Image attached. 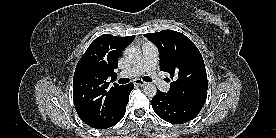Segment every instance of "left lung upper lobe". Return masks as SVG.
<instances>
[{
    "instance_id": "5c2ea615",
    "label": "left lung upper lobe",
    "mask_w": 276,
    "mask_h": 138,
    "mask_svg": "<svg viewBox=\"0 0 276 138\" xmlns=\"http://www.w3.org/2000/svg\"><path fill=\"white\" fill-rule=\"evenodd\" d=\"M144 36L159 50L160 70L175 78L167 94L202 108L207 98L208 81L203 58L194 43L184 34L173 30Z\"/></svg>"
}]
</instances>
